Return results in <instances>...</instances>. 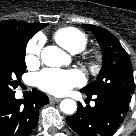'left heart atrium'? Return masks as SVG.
<instances>
[{
  "mask_svg": "<svg viewBox=\"0 0 136 136\" xmlns=\"http://www.w3.org/2000/svg\"><path fill=\"white\" fill-rule=\"evenodd\" d=\"M84 81L83 74L78 70L45 69L36 76L37 86L55 95L65 94Z\"/></svg>",
  "mask_w": 136,
  "mask_h": 136,
  "instance_id": "39dd6f15",
  "label": "left heart atrium"
}]
</instances>
